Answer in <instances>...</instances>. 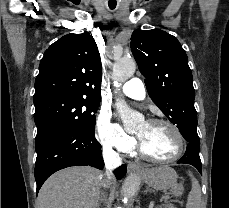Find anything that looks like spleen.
Returning <instances> with one entry per match:
<instances>
[{"label":"spleen","mask_w":229,"mask_h":208,"mask_svg":"<svg viewBox=\"0 0 229 208\" xmlns=\"http://www.w3.org/2000/svg\"><path fill=\"white\" fill-rule=\"evenodd\" d=\"M189 176H191V180H192V190L189 194L186 208H200L201 188L199 186V182H197L196 178H193L190 172H189Z\"/></svg>","instance_id":"1"}]
</instances>
